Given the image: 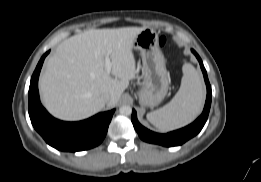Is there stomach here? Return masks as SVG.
<instances>
[{
    "instance_id": "1",
    "label": "stomach",
    "mask_w": 261,
    "mask_h": 182,
    "mask_svg": "<svg viewBox=\"0 0 261 182\" xmlns=\"http://www.w3.org/2000/svg\"><path fill=\"white\" fill-rule=\"evenodd\" d=\"M133 48L140 52L144 76L138 91L139 103L141 106H157L166 96L170 83L157 32L145 28L137 35Z\"/></svg>"
}]
</instances>
